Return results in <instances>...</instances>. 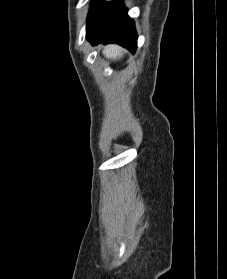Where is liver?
<instances>
[{"mask_svg":"<svg viewBox=\"0 0 227 279\" xmlns=\"http://www.w3.org/2000/svg\"><path fill=\"white\" fill-rule=\"evenodd\" d=\"M124 50L117 45H108L103 47V54L107 58L117 60L122 57Z\"/></svg>","mask_w":227,"mask_h":279,"instance_id":"obj_1","label":"liver"}]
</instances>
